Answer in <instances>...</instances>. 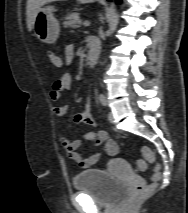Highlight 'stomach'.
I'll return each instance as SVG.
<instances>
[{
  "mask_svg": "<svg viewBox=\"0 0 188 213\" xmlns=\"http://www.w3.org/2000/svg\"><path fill=\"white\" fill-rule=\"evenodd\" d=\"M94 0H80V2H92ZM55 7L52 5H42L35 17L34 33L35 36L44 43H54L59 37L60 24L54 17Z\"/></svg>",
  "mask_w": 188,
  "mask_h": 213,
  "instance_id": "stomach-1",
  "label": "stomach"
}]
</instances>
